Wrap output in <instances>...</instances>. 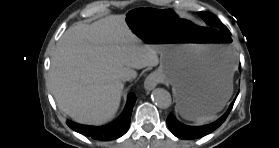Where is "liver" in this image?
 <instances>
[{
    "mask_svg": "<svg viewBox=\"0 0 279 148\" xmlns=\"http://www.w3.org/2000/svg\"><path fill=\"white\" fill-rule=\"evenodd\" d=\"M158 54L131 32L124 15L78 23L62 35L51 58L49 82L58 108L79 123H106L120 104V76L135 78L133 68L157 66Z\"/></svg>",
    "mask_w": 279,
    "mask_h": 148,
    "instance_id": "6515ba94",
    "label": "liver"
}]
</instances>
